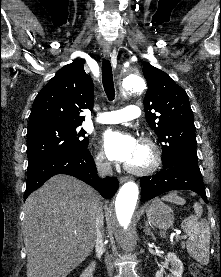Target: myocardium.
<instances>
[{"label":"myocardium","mask_w":221,"mask_h":277,"mask_svg":"<svg viewBox=\"0 0 221 277\" xmlns=\"http://www.w3.org/2000/svg\"><path fill=\"white\" fill-rule=\"evenodd\" d=\"M139 144L145 146L150 154V161L147 165L137 167L126 163L124 168L131 174L143 176L155 172L161 163V152L157 144L150 138L142 137L139 139Z\"/></svg>","instance_id":"1"}]
</instances>
